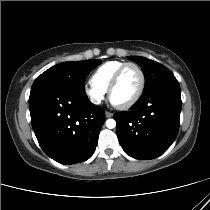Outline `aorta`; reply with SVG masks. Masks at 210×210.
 Here are the masks:
<instances>
[{"label": "aorta", "mask_w": 210, "mask_h": 210, "mask_svg": "<svg viewBox=\"0 0 210 210\" xmlns=\"http://www.w3.org/2000/svg\"><path fill=\"white\" fill-rule=\"evenodd\" d=\"M106 127L109 129H113L116 127V121L114 119H108L106 121Z\"/></svg>", "instance_id": "762f6f07"}]
</instances>
